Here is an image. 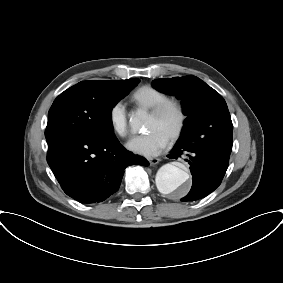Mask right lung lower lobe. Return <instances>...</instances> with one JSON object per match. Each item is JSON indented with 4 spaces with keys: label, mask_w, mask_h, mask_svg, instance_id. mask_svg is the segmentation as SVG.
Instances as JSON below:
<instances>
[{
    "label": "right lung lower lobe",
    "mask_w": 283,
    "mask_h": 283,
    "mask_svg": "<svg viewBox=\"0 0 283 283\" xmlns=\"http://www.w3.org/2000/svg\"><path fill=\"white\" fill-rule=\"evenodd\" d=\"M48 146L47 162L63 191L82 203H99L117 192L127 166L149 165L127 151L115 134L73 136Z\"/></svg>",
    "instance_id": "right-lung-lower-lobe-1"
}]
</instances>
